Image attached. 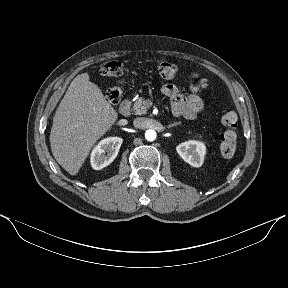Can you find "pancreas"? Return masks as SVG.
Listing matches in <instances>:
<instances>
[{"label":"pancreas","instance_id":"cf45deb5","mask_svg":"<svg viewBox=\"0 0 288 288\" xmlns=\"http://www.w3.org/2000/svg\"><path fill=\"white\" fill-rule=\"evenodd\" d=\"M133 112L137 115L147 113L146 101L143 97H139L133 102Z\"/></svg>","mask_w":288,"mask_h":288}]
</instances>
